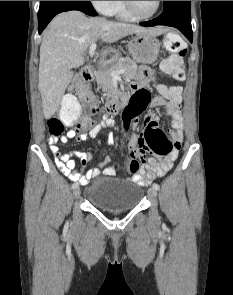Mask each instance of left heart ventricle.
Instances as JSON below:
<instances>
[{
    "instance_id": "left-heart-ventricle-1",
    "label": "left heart ventricle",
    "mask_w": 233,
    "mask_h": 295,
    "mask_svg": "<svg viewBox=\"0 0 233 295\" xmlns=\"http://www.w3.org/2000/svg\"><path fill=\"white\" fill-rule=\"evenodd\" d=\"M134 9L140 15L146 16L151 14L155 8L157 1H132Z\"/></svg>"
}]
</instances>
